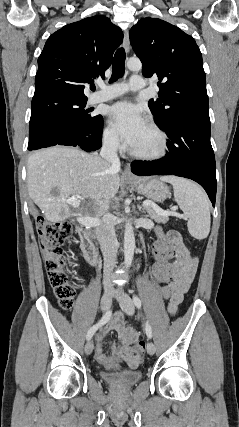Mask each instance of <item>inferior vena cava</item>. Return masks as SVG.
I'll return each instance as SVG.
<instances>
[{
	"instance_id": "inferior-vena-cava-1",
	"label": "inferior vena cava",
	"mask_w": 239,
	"mask_h": 427,
	"mask_svg": "<svg viewBox=\"0 0 239 427\" xmlns=\"http://www.w3.org/2000/svg\"><path fill=\"white\" fill-rule=\"evenodd\" d=\"M117 149L118 137L116 135L109 136L103 141L100 156L111 163L114 169L120 170V160L117 155ZM96 235L104 258V289L113 290L112 271L116 263L118 242L114 227L110 220V215L106 214L104 216L102 224L96 229Z\"/></svg>"
}]
</instances>
